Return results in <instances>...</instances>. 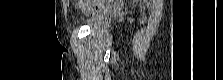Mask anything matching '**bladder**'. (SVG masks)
Wrapping results in <instances>:
<instances>
[{"label":"bladder","mask_w":223,"mask_h":80,"mask_svg":"<svg viewBox=\"0 0 223 80\" xmlns=\"http://www.w3.org/2000/svg\"><path fill=\"white\" fill-rule=\"evenodd\" d=\"M109 21L110 19L107 15L99 14L87 19L85 24L91 30H97L106 27L109 24Z\"/></svg>","instance_id":"obj_1"}]
</instances>
